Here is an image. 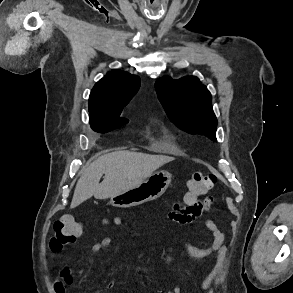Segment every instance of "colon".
Here are the masks:
<instances>
[{
	"label": "colon",
	"mask_w": 293,
	"mask_h": 293,
	"mask_svg": "<svg viewBox=\"0 0 293 293\" xmlns=\"http://www.w3.org/2000/svg\"><path fill=\"white\" fill-rule=\"evenodd\" d=\"M216 181L217 177L212 173H194L187 181L183 205L190 208L197 204L200 197L215 186ZM53 229L54 235L50 240V249L53 252H60L80 236L85 226L72 216L63 215L54 222Z\"/></svg>",
	"instance_id": "5ec220e1"
}]
</instances>
